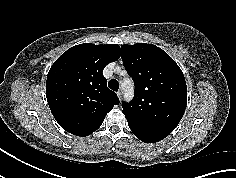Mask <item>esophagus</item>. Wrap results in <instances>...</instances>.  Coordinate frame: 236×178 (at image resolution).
Here are the masks:
<instances>
[{
    "mask_svg": "<svg viewBox=\"0 0 236 178\" xmlns=\"http://www.w3.org/2000/svg\"><path fill=\"white\" fill-rule=\"evenodd\" d=\"M117 96H118L119 100L122 99V93L120 91L117 92Z\"/></svg>",
    "mask_w": 236,
    "mask_h": 178,
    "instance_id": "esophagus-1",
    "label": "esophagus"
}]
</instances>
